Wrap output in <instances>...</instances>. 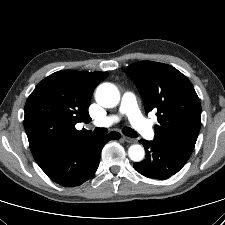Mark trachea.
Here are the masks:
<instances>
[{
    "label": "trachea",
    "mask_w": 225,
    "mask_h": 225,
    "mask_svg": "<svg viewBox=\"0 0 225 225\" xmlns=\"http://www.w3.org/2000/svg\"><path fill=\"white\" fill-rule=\"evenodd\" d=\"M94 132L95 133H100V134H105L108 132V130L106 128H99V127H96L94 129ZM123 133L128 136V137H132V138H136L137 137V134L136 132L130 128V127H125L123 128Z\"/></svg>",
    "instance_id": "3493384b"
}]
</instances>
